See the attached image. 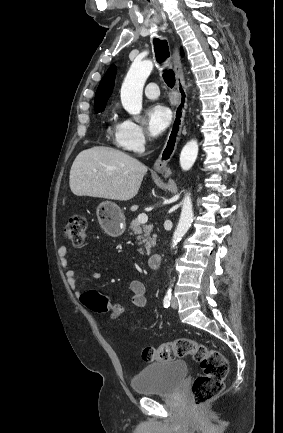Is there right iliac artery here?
<instances>
[{
  "label": "right iliac artery",
  "instance_id": "obj_1",
  "mask_svg": "<svg viewBox=\"0 0 283 433\" xmlns=\"http://www.w3.org/2000/svg\"><path fill=\"white\" fill-rule=\"evenodd\" d=\"M171 302V290H169L164 298L163 304L165 308H168L170 306Z\"/></svg>",
  "mask_w": 283,
  "mask_h": 433
}]
</instances>
